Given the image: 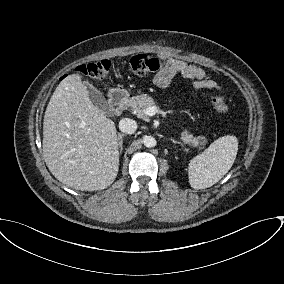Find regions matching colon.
<instances>
[{"instance_id": "5ec220e1", "label": "colon", "mask_w": 284, "mask_h": 284, "mask_svg": "<svg viewBox=\"0 0 284 284\" xmlns=\"http://www.w3.org/2000/svg\"><path fill=\"white\" fill-rule=\"evenodd\" d=\"M165 61L147 54H137L129 59L128 65L131 72L139 76H145L159 70ZM111 62L107 59L87 63L78 67V71L95 80H103L108 77ZM213 107L221 114L228 113V106L219 95H210Z\"/></svg>"}]
</instances>
